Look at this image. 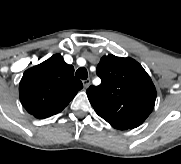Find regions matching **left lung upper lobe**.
I'll return each instance as SVG.
<instances>
[{"label": "left lung upper lobe", "instance_id": "left-lung-upper-lobe-1", "mask_svg": "<svg viewBox=\"0 0 181 164\" xmlns=\"http://www.w3.org/2000/svg\"><path fill=\"white\" fill-rule=\"evenodd\" d=\"M101 84L91 85L87 96L96 113L112 126L136 128L152 112L155 86L132 58L103 56L97 66Z\"/></svg>", "mask_w": 181, "mask_h": 164}]
</instances>
